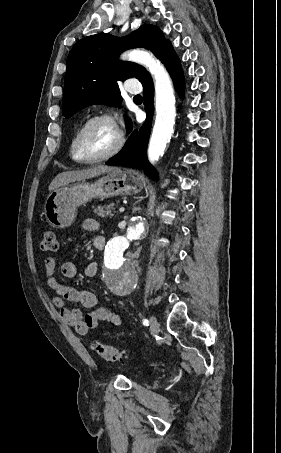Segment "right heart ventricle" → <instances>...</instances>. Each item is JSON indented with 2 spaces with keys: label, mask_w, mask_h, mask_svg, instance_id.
<instances>
[{
  "label": "right heart ventricle",
  "mask_w": 281,
  "mask_h": 453,
  "mask_svg": "<svg viewBox=\"0 0 281 453\" xmlns=\"http://www.w3.org/2000/svg\"><path fill=\"white\" fill-rule=\"evenodd\" d=\"M73 138L71 139V151H72V148H73Z\"/></svg>",
  "instance_id": "e07e8e85"
}]
</instances>
